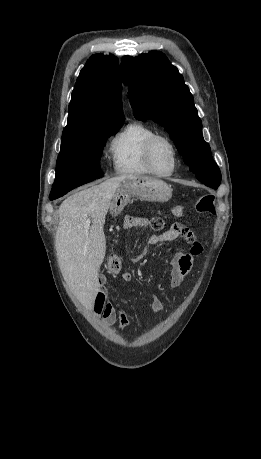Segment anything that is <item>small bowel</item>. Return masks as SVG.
I'll return each instance as SVG.
<instances>
[{
	"mask_svg": "<svg viewBox=\"0 0 261 459\" xmlns=\"http://www.w3.org/2000/svg\"><path fill=\"white\" fill-rule=\"evenodd\" d=\"M148 226V220L142 217H128L124 222L125 229L144 228ZM178 238H184L191 246L190 253H176L169 261L170 271V288L179 287L186 276L190 273L193 266L194 256L202 252V246L194 234L182 224H173L171 227L161 233L152 234L148 238V244L157 245L166 242L175 241ZM124 282H130L132 275L129 272H124L121 275ZM100 282L104 285L107 282L105 276L100 277ZM95 305H99L100 309L97 312L102 316L104 323L111 325L118 321L122 329H128L130 326L129 316L123 309L115 308L107 299L105 288L102 286L95 299ZM150 307L155 313H161L164 310V305L161 300L155 296H151Z\"/></svg>",
	"mask_w": 261,
	"mask_h": 459,
	"instance_id": "small-bowel-1",
	"label": "small bowel"
}]
</instances>
